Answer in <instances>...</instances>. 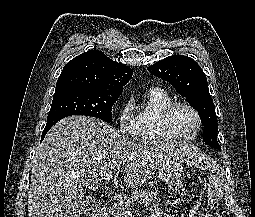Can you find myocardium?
<instances>
[{
  "label": "myocardium",
  "instance_id": "f54148a6",
  "mask_svg": "<svg viewBox=\"0 0 255 217\" xmlns=\"http://www.w3.org/2000/svg\"><path fill=\"white\" fill-rule=\"evenodd\" d=\"M178 107L188 108L196 116L198 126H197V129L193 135L182 136V135L177 134L175 132V130L173 129L172 123H171V118H172L173 112ZM161 126H162L163 131L169 138L178 140V141H191L199 136V134L202 130V126H203V120H202V116H201L200 112L192 104H190L188 102H184V101H175L163 109V111L161 113Z\"/></svg>",
  "mask_w": 255,
  "mask_h": 217
}]
</instances>
